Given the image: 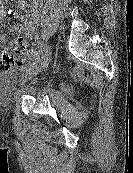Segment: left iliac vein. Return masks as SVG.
Segmentation results:
<instances>
[{
	"mask_svg": "<svg viewBox=\"0 0 133 173\" xmlns=\"http://www.w3.org/2000/svg\"><path fill=\"white\" fill-rule=\"evenodd\" d=\"M52 60V54H48L41 57L36 61V64L29 69H27L21 76V82L26 83L28 80L39 74L43 69H45L50 61Z\"/></svg>",
	"mask_w": 133,
	"mask_h": 173,
	"instance_id": "1",
	"label": "left iliac vein"
}]
</instances>
